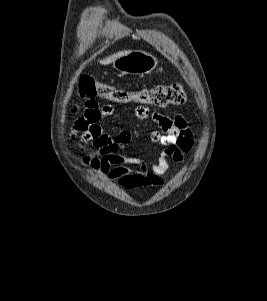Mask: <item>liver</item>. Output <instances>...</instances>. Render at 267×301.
<instances>
[{
	"label": "liver",
	"instance_id": "obj_1",
	"mask_svg": "<svg viewBox=\"0 0 267 301\" xmlns=\"http://www.w3.org/2000/svg\"><path fill=\"white\" fill-rule=\"evenodd\" d=\"M127 53H129V51L118 52V53H116V54H114L112 56L107 57L106 59L101 60L100 63L103 64V65H108V64L114 62L119 57H121L123 55H126Z\"/></svg>",
	"mask_w": 267,
	"mask_h": 301
}]
</instances>
